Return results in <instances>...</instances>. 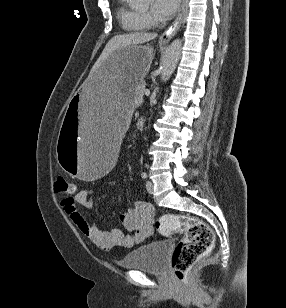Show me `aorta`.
Returning a JSON list of instances; mask_svg holds the SVG:
<instances>
[{
	"label": "aorta",
	"mask_w": 286,
	"mask_h": 308,
	"mask_svg": "<svg viewBox=\"0 0 286 308\" xmlns=\"http://www.w3.org/2000/svg\"><path fill=\"white\" fill-rule=\"evenodd\" d=\"M138 3L148 2L149 0H135ZM182 41L180 39L174 40L166 49L161 60V80L167 81L174 72L177 63L181 56Z\"/></svg>",
	"instance_id": "aorta-1"
}]
</instances>
